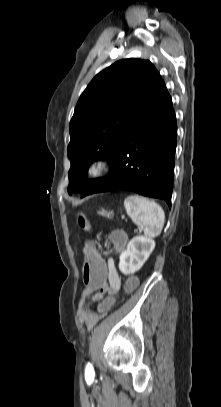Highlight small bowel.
Returning <instances> with one entry per match:
<instances>
[{
    "label": "small bowel",
    "instance_id": "c3829d8e",
    "mask_svg": "<svg viewBox=\"0 0 221 407\" xmlns=\"http://www.w3.org/2000/svg\"><path fill=\"white\" fill-rule=\"evenodd\" d=\"M106 265L109 268L108 285L102 286V292H85L83 291L82 299L78 307V317L82 326L90 330L98 320L107 313L99 312V303L101 299L109 292H118V288L122 285L121 278L116 270L112 259L106 260ZM97 303L96 310L92 309L91 305ZM112 308V307H111Z\"/></svg>",
    "mask_w": 221,
    "mask_h": 407
}]
</instances>
